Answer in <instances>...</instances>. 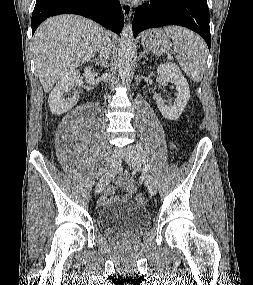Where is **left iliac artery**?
I'll return each mask as SVG.
<instances>
[{
    "label": "left iliac artery",
    "mask_w": 253,
    "mask_h": 285,
    "mask_svg": "<svg viewBox=\"0 0 253 285\" xmlns=\"http://www.w3.org/2000/svg\"><path fill=\"white\" fill-rule=\"evenodd\" d=\"M136 147H137V149H138V152H139V154H140V156H141V158H142V161L144 162L145 166H146L149 170H151L152 166H151V163H150V161H149V158H148V156H147V154H146V151L144 150V148L142 147V145H141L140 143H138V144L136 145Z\"/></svg>",
    "instance_id": "44dca946"
}]
</instances>
